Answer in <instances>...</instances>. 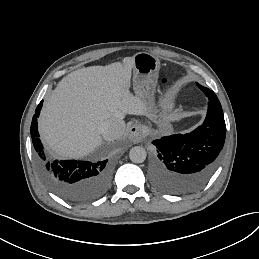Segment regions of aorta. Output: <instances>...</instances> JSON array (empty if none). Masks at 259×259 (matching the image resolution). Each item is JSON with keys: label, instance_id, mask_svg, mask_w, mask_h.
Here are the masks:
<instances>
[{"label": "aorta", "instance_id": "aorta-1", "mask_svg": "<svg viewBox=\"0 0 259 259\" xmlns=\"http://www.w3.org/2000/svg\"><path fill=\"white\" fill-rule=\"evenodd\" d=\"M147 153L143 147H132L129 152V158L133 163H143L146 159Z\"/></svg>", "mask_w": 259, "mask_h": 259}]
</instances>
